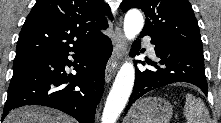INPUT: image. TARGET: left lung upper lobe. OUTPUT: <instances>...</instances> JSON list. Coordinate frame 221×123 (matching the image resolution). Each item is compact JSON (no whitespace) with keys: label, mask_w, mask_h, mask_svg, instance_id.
I'll list each match as a JSON object with an SVG mask.
<instances>
[{"label":"left lung upper lobe","mask_w":221,"mask_h":123,"mask_svg":"<svg viewBox=\"0 0 221 123\" xmlns=\"http://www.w3.org/2000/svg\"><path fill=\"white\" fill-rule=\"evenodd\" d=\"M123 12L142 9L146 16L143 33L177 47L202 49L197 20L187 0H123Z\"/></svg>","instance_id":"1"}]
</instances>
